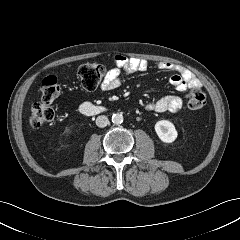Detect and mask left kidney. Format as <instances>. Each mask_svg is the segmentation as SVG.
<instances>
[{"instance_id":"left-kidney-1","label":"left kidney","mask_w":240,"mask_h":240,"mask_svg":"<svg viewBox=\"0 0 240 240\" xmlns=\"http://www.w3.org/2000/svg\"><path fill=\"white\" fill-rule=\"evenodd\" d=\"M155 132L159 139L165 143H172L177 138V130L172 122L160 120L155 124Z\"/></svg>"}]
</instances>
